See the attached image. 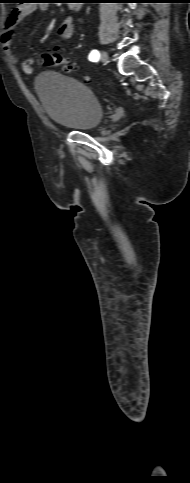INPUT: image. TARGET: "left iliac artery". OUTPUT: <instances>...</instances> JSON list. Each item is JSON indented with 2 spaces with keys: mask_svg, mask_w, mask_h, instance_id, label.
<instances>
[{
  "mask_svg": "<svg viewBox=\"0 0 190 483\" xmlns=\"http://www.w3.org/2000/svg\"><path fill=\"white\" fill-rule=\"evenodd\" d=\"M100 57V53L98 50H92L91 53L89 54V60L90 61H96Z\"/></svg>",
  "mask_w": 190,
  "mask_h": 483,
  "instance_id": "44dca946",
  "label": "left iliac artery"
}]
</instances>
